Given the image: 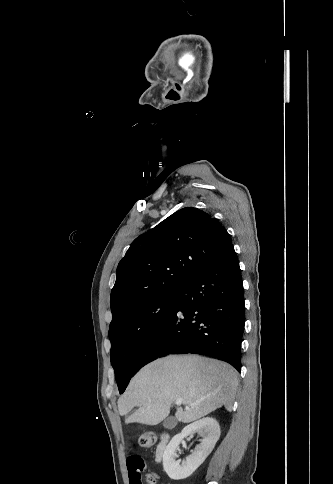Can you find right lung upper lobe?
Instances as JSON below:
<instances>
[{"label":"right lung upper lobe","instance_id":"obj_1","mask_svg":"<svg viewBox=\"0 0 333 484\" xmlns=\"http://www.w3.org/2000/svg\"><path fill=\"white\" fill-rule=\"evenodd\" d=\"M230 246L226 229L208 213L183 208L137 237L117 267L112 322L133 307L179 291Z\"/></svg>","mask_w":333,"mask_h":484}]
</instances>
